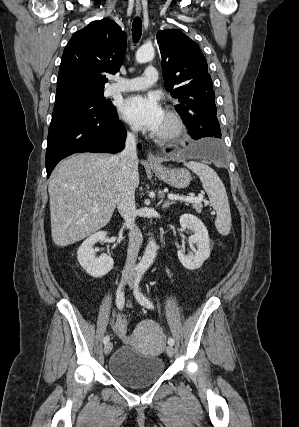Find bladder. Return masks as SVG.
I'll return each mask as SVG.
<instances>
[{
  "label": "bladder",
  "instance_id": "bladder-1",
  "mask_svg": "<svg viewBox=\"0 0 299 427\" xmlns=\"http://www.w3.org/2000/svg\"><path fill=\"white\" fill-rule=\"evenodd\" d=\"M164 371L165 363L160 356L141 354L128 345L120 346L109 361L110 375L130 388L154 384Z\"/></svg>",
  "mask_w": 299,
  "mask_h": 427
}]
</instances>
